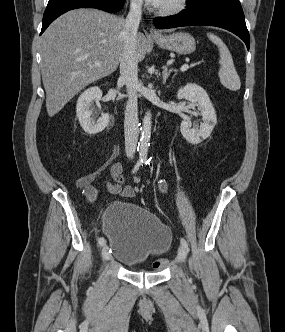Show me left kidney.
I'll return each instance as SVG.
<instances>
[{
    "mask_svg": "<svg viewBox=\"0 0 285 332\" xmlns=\"http://www.w3.org/2000/svg\"><path fill=\"white\" fill-rule=\"evenodd\" d=\"M178 99H186L192 104L197 105L203 123L192 128L190 118L182 121L180 131L187 142L191 144H199L208 138L217 123L215 109L208 97L206 91L199 85L189 83L179 89L177 93Z\"/></svg>",
    "mask_w": 285,
    "mask_h": 332,
    "instance_id": "obj_1",
    "label": "left kidney"
}]
</instances>
